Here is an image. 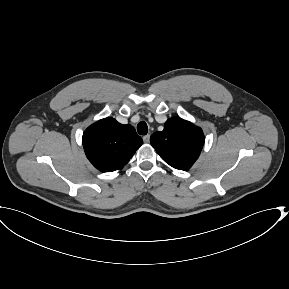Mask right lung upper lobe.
<instances>
[{
  "label": "right lung upper lobe",
  "instance_id": "right-lung-upper-lobe-1",
  "mask_svg": "<svg viewBox=\"0 0 289 289\" xmlns=\"http://www.w3.org/2000/svg\"><path fill=\"white\" fill-rule=\"evenodd\" d=\"M82 142L94 167L102 172H112L129 162L143 140L133 126L105 118L85 130Z\"/></svg>",
  "mask_w": 289,
  "mask_h": 289
}]
</instances>
